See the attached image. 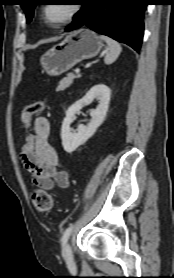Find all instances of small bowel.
<instances>
[{"label":"small bowel","mask_w":174,"mask_h":278,"mask_svg":"<svg viewBox=\"0 0 174 278\" xmlns=\"http://www.w3.org/2000/svg\"><path fill=\"white\" fill-rule=\"evenodd\" d=\"M33 132L36 147L31 154L20 155L26 170L31 174L32 182L43 190H52L56 186L67 188L69 175L60 169L57 152L49 142L50 122L44 116L34 121Z\"/></svg>","instance_id":"obj_1"}]
</instances>
